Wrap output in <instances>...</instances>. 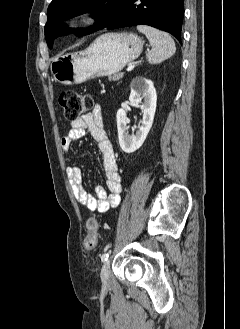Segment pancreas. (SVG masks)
<instances>
[{"label":"pancreas","instance_id":"pancreas-1","mask_svg":"<svg viewBox=\"0 0 240 329\" xmlns=\"http://www.w3.org/2000/svg\"><path fill=\"white\" fill-rule=\"evenodd\" d=\"M123 77L122 73H116L113 76L109 77V80L117 81L120 80Z\"/></svg>","mask_w":240,"mask_h":329}]
</instances>
